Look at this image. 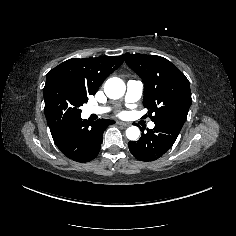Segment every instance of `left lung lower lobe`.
<instances>
[{
    "label": "left lung lower lobe",
    "mask_w": 236,
    "mask_h": 236,
    "mask_svg": "<svg viewBox=\"0 0 236 236\" xmlns=\"http://www.w3.org/2000/svg\"><path fill=\"white\" fill-rule=\"evenodd\" d=\"M184 123L167 119L155 122L147 133L142 130L138 141L128 143L132 155L140 161H154L163 156L174 144Z\"/></svg>",
    "instance_id": "obj_1"
}]
</instances>
